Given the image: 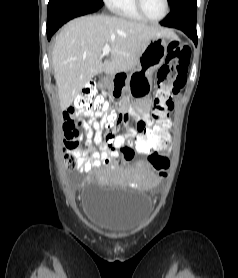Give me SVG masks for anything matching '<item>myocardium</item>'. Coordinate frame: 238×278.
<instances>
[{"label":"myocardium","mask_w":238,"mask_h":278,"mask_svg":"<svg viewBox=\"0 0 238 278\" xmlns=\"http://www.w3.org/2000/svg\"><path fill=\"white\" fill-rule=\"evenodd\" d=\"M164 1H165V12H164L163 16L158 18V19H153V18H151L147 15V13L144 9V6H143V0H135V4H136V8H137L138 12L141 14V16L145 20H147L149 22H152V23H159L162 20H164L170 12V2H169V0H164Z\"/></svg>","instance_id":"obj_1"}]
</instances>
